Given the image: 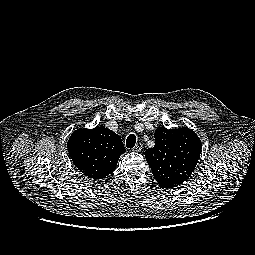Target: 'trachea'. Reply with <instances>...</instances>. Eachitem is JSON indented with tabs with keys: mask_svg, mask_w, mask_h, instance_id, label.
Segmentation results:
<instances>
[{
	"mask_svg": "<svg viewBox=\"0 0 255 255\" xmlns=\"http://www.w3.org/2000/svg\"><path fill=\"white\" fill-rule=\"evenodd\" d=\"M136 143V136L134 134H130L126 139V146L127 148H133Z\"/></svg>",
	"mask_w": 255,
	"mask_h": 255,
	"instance_id": "1",
	"label": "trachea"
}]
</instances>
